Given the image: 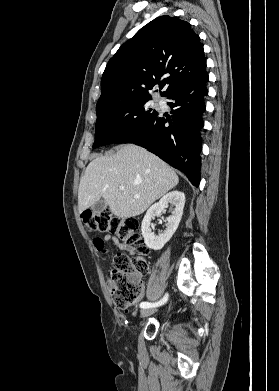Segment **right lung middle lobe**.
Here are the masks:
<instances>
[{
    "instance_id": "right-lung-middle-lobe-1",
    "label": "right lung middle lobe",
    "mask_w": 279,
    "mask_h": 391,
    "mask_svg": "<svg viewBox=\"0 0 279 391\" xmlns=\"http://www.w3.org/2000/svg\"><path fill=\"white\" fill-rule=\"evenodd\" d=\"M149 100L133 101L97 114L93 148L115 143L127 131L154 118L158 112L147 107Z\"/></svg>"
}]
</instances>
